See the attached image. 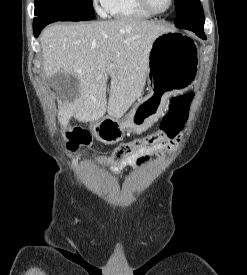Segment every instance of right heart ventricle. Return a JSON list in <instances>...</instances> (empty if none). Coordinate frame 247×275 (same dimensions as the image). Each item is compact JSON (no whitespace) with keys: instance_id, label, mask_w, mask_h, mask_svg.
<instances>
[{"instance_id":"1","label":"right heart ventricle","mask_w":247,"mask_h":275,"mask_svg":"<svg viewBox=\"0 0 247 275\" xmlns=\"http://www.w3.org/2000/svg\"><path fill=\"white\" fill-rule=\"evenodd\" d=\"M108 14L115 19H147L152 16L139 0H109Z\"/></svg>"}]
</instances>
